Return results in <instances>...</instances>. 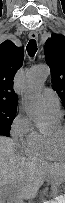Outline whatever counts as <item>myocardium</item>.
Segmentation results:
<instances>
[{"label": "myocardium", "instance_id": "f54148a6", "mask_svg": "<svg viewBox=\"0 0 65 203\" xmlns=\"http://www.w3.org/2000/svg\"><path fill=\"white\" fill-rule=\"evenodd\" d=\"M53 145V148L58 152L65 142V126L59 125L58 128L52 134L47 135Z\"/></svg>", "mask_w": 65, "mask_h": 203}]
</instances>
